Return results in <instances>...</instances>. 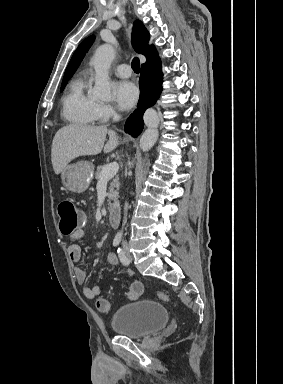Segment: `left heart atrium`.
Returning a JSON list of instances; mask_svg holds the SVG:
<instances>
[{
  "mask_svg": "<svg viewBox=\"0 0 283 384\" xmlns=\"http://www.w3.org/2000/svg\"><path fill=\"white\" fill-rule=\"evenodd\" d=\"M114 95L119 106L123 109L132 108L138 100V89L129 81H119L114 84Z\"/></svg>",
  "mask_w": 283,
  "mask_h": 384,
  "instance_id": "left-heart-atrium-1",
  "label": "left heart atrium"
}]
</instances>
